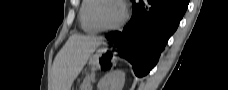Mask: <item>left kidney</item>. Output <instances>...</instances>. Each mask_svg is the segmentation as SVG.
Listing matches in <instances>:
<instances>
[{
	"instance_id": "5707ae66",
	"label": "left kidney",
	"mask_w": 228,
	"mask_h": 90,
	"mask_svg": "<svg viewBox=\"0 0 228 90\" xmlns=\"http://www.w3.org/2000/svg\"><path fill=\"white\" fill-rule=\"evenodd\" d=\"M125 83V73L116 70L106 74L98 83V90H122Z\"/></svg>"
}]
</instances>
